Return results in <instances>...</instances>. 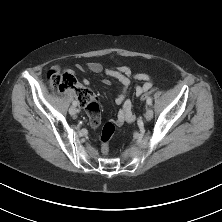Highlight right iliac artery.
Instances as JSON below:
<instances>
[{
    "mask_svg": "<svg viewBox=\"0 0 222 222\" xmlns=\"http://www.w3.org/2000/svg\"><path fill=\"white\" fill-rule=\"evenodd\" d=\"M72 104H73V106H75V107H76V106H77V101H73V103H72Z\"/></svg>",
    "mask_w": 222,
    "mask_h": 222,
    "instance_id": "1",
    "label": "right iliac artery"
}]
</instances>
